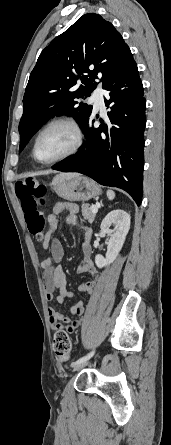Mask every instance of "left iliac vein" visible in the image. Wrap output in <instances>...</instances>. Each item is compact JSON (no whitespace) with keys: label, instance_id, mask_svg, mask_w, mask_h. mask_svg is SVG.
Segmentation results:
<instances>
[{"label":"left iliac vein","instance_id":"4c4485c4","mask_svg":"<svg viewBox=\"0 0 171 445\" xmlns=\"http://www.w3.org/2000/svg\"><path fill=\"white\" fill-rule=\"evenodd\" d=\"M90 362V359H87L86 361H83L81 363H79L78 365L74 366V370H80L82 368H84L85 366H87Z\"/></svg>","mask_w":171,"mask_h":445}]
</instances>
